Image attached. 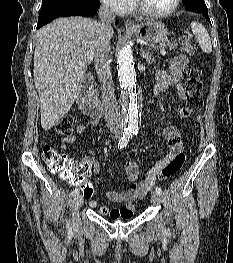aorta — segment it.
<instances>
[{
  "label": "aorta",
  "mask_w": 233,
  "mask_h": 263,
  "mask_svg": "<svg viewBox=\"0 0 233 263\" xmlns=\"http://www.w3.org/2000/svg\"><path fill=\"white\" fill-rule=\"evenodd\" d=\"M117 67L124 123L130 131L135 132L138 129L140 117L141 93L136 84L134 60L129 47L125 46L119 51Z\"/></svg>",
  "instance_id": "762f6f07"
}]
</instances>
